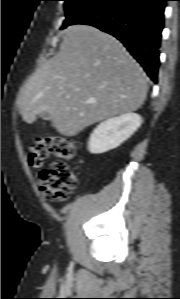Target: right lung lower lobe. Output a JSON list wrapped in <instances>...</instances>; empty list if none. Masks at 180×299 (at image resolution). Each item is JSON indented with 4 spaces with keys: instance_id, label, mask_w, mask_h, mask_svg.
Instances as JSON below:
<instances>
[{
    "instance_id": "obj_1",
    "label": "right lung lower lobe",
    "mask_w": 180,
    "mask_h": 299,
    "mask_svg": "<svg viewBox=\"0 0 180 299\" xmlns=\"http://www.w3.org/2000/svg\"><path fill=\"white\" fill-rule=\"evenodd\" d=\"M166 1L103 0L72 24L91 25L116 37L156 83Z\"/></svg>"
}]
</instances>
